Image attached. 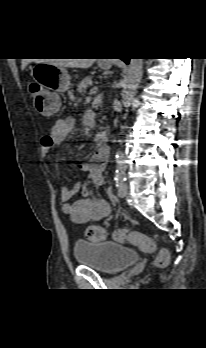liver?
Returning a JSON list of instances; mask_svg holds the SVG:
<instances>
[{
    "label": "liver",
    "mask_w": 206,
    "mask_h": 348,
    "mask_svg": "<svg viewBox=\"0 0 206 348\" xmlns=\"http://www.w3.org/2000/svg\"><path fill=\"white\" fill-rule=\"evenodd\" d=\"M96 59H52L47 63L53 64L58 67L69 68H89L93 65ZM31 59H23L21 68L22 70L31 62Z\"/></svg>",
    "instance_id": "6515ba94"
}]
</instances>
